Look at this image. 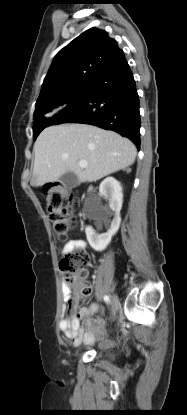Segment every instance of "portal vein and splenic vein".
<instances>
[{
    "mask_svg": "<svg viewBox=\"0 0 187 415\" xmlns=\"http://www.w3.org/2000/svg\"><path fill=\"white\" fill-rule=\"evenodd\" d=\"M79 166H80L81 168H86V167H87V161H85V160H80V161H79Z\"/></svg>",
    "mask_w": 187,
    "mask_h": 415,
    "instance_id": "18ae733b",
    "label": "portal vein and splenic vein"
}]
</instances>
